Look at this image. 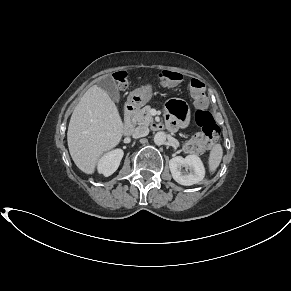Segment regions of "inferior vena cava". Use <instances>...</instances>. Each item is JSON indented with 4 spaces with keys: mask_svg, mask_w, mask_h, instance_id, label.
Segmentation results:
<instances>
[{
    "mask_svg": "<svg viewBox=\"0 0 291 291\" xmlns=\"http://www.w3.org/2000/svg\"><path fill=\"white\" fill-rule=\"evenodd\" d=\"M149 134V128L146 126H138L134 129L132 136L134 138H141Z\"/></svg>",
    "mask_w": 291,
    "mask_h": 291,
    "instance_id": "1",
    "label": "inferior vena cava"
}]
</instances>
